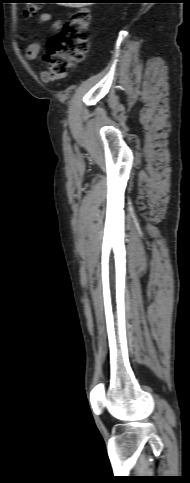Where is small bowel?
<instances>
[{
    "label": "small bowel",
    "instance_id": "1",
    "mask_svg": "<svg viewBox=\"0 0 190 483\" xmlns=\"http://www.w3.org/2000/svg\"><path fill=\"white\" fill-rule=\"evenodd\" d=\"M40 22L42 24L48 25V27L52 31H58L61 27V22L59 20H53L49 13H43L40 16ZM39 51H40V45L38 43H35V42L30 43L26 48L25 55H26L27 59L34 60L38 57ZM41 78H42L43 81L49 80V77L46 74V72L42 73Z\"/></svg>",
    "mask_w": 190,
    "mask_h": 483
}]
</instances>
